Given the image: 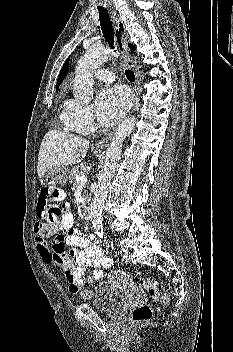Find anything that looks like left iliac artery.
Segmentation results:
<instances>
[{"label": "left iliac artery", "instance_id": "44dca946", "mask_svg": "<svg viewBox=\"0 0 233 352\" xmlns=\"http://www.w3.org/2000/svg\"><path fill=\"white\" fill-rule=\"evenodd\" d=\"M125 258H126V256H125V255H123V256H122V261H125Z\"/></svg>", "mask_w": 233, "mask_h": 352}]
</instances>
